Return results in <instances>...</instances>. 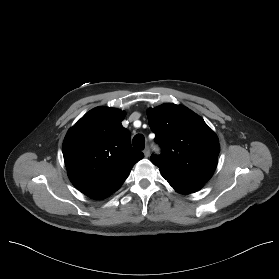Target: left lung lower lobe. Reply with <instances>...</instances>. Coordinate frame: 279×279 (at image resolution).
<instances>
[{"label":"left lung lower lobe","instance_id":"1","mask_svg":"<svg viewBox=\"0 0 279 279\" xmlns=\"http://www.w3.org/2000/svg\"><path fill=\"white\" fill-rule=\"evenodd\" d=\"M163 178L179 193L189 194L200 190L205 182L186 179L166 171L160 170Z\"/></svg>","mask_w":279,"mask_h":279}]
</instances>
